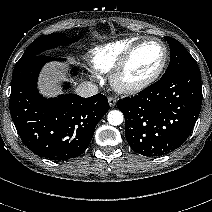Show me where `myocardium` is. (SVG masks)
<instances>
[{
  "mask_svg": "<svg viewBox=\"0 0 212 212\" xmlns=\"http://www.w3.org/2000/svg\"><path fill=\"white\" fill-rule=\"evenodd\" d=\"M155 42L161 45L163 49V58L158 68L149 76L138 81H127L125 79V73L128 65L133 58L136 51L144 44ZM168 48L163 41L158 38H143L136 41L123 55L117 66L114 68L111 74V84L113 88L122 94H135L138 93L150 85H152L164 71L168 61Z\"/></svg>",
  "mask_w": 212,
  "mask_h": 212,
  "instance_id": "obj_1",
  "label": "myocardium"
}]
</instances>
